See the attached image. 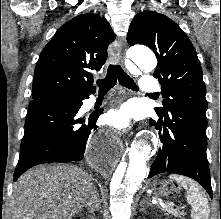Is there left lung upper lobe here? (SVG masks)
I'll list each match as a JSON object with an SVG mask.
<instances>
[{
	"mask_svg": "<svg viewBox=\"0 0 221 219\" xmlns=\"http://www.w3.org/2000/svg\"><path fill=\"white\" fill-rule=\"evenodd\" d=\"M127 41L147 45L157 56L153 74L162 85L163 107H156L159 117L175 107L206 116V87L197 53L187 35L167 16L143 11L131 22Z\"/></svg>",
	"mask_w": 221,
	"mask_h": 219,
	"instance_id": "1",
	"label": "left lung upper lobe"
}]
</instances>
